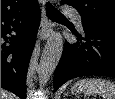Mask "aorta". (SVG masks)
Returning <instances> with one entry per match:
<instances>
[{
	"instance_id": "obj_1",
	"label": "aorta",
	"mask_w": 115,
	"mask_h": 99,
	"mask_svg": "<svg viewBox=\"0 0 115 99\" xmlns=\"http://www.w3.org/2000/svg\"><path fill=\"white\" fill-rule=\"evenodd\" d=\"M62 52L63 38L60 33L54 32L45 45L39 64V76L42 83H46L55 71Z\"/></svg>"
}]
</instances>
